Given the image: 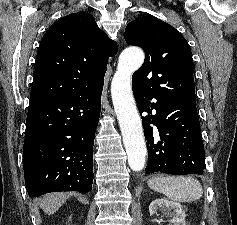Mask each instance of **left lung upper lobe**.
Segmentation results:
<instances>
[{
	"mask_svg": "<svg viewBox=\"0 0 237 225\" xmlns=\"http://www.w3.org/2000/svg\"><path fill=\"white\" fill-rule=\"evenodd\" d=\"M125 40L145 51L132 86L168 101H196L191 49L174 27L152 15L136 18L126 26Z\"/></svg>",
	"mask_w": 237,
	"mask_h": 225,
	"instance_id": "obj_1",
	"label": "left lung upper lobe"
}]
</instances>
